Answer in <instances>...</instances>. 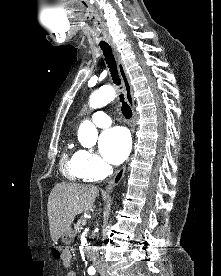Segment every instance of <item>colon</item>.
Instances as JSON below:
<instances>
[{"label": "colon", "mask_w": 221, "mask_h": 276, "mask_svg": "<svg viewBox=\"0 0 221 276\" xmlns=\"http://www.w3.org/2000/svg\"><path fill=\"white\" fill-rule=\"evenodd\" d=\"M55 250H54V257L56 258V259H60V258H62V255H63V251H64V246H55V248H54Z\"/></svg>", "instance_id": "colon-1"}]
</instances>
